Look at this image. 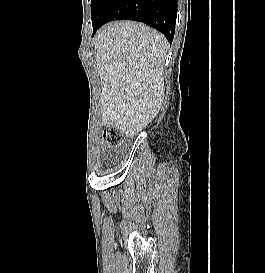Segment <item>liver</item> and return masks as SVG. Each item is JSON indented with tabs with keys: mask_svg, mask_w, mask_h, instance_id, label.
<instances>
[{
	"mask_svg": "<svg viewBox=\"0 0 265 273\" xmlns=\"http://www.w3.org/2000/svg\"><path fill=\"white\" fill-rule=\"evenodd\" d=\"M165 37L132 21L103 26L95 38L105 124L133 137L159 112L164 99Z\"/></svg>",
	"mask_w": 265,
	"mask_h": 273,
	"instance_id": "1",
	"label": "liver"
}]
</instances>
